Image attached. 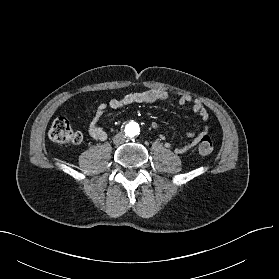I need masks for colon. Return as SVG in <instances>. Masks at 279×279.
<instances>
[{
	"label": "colon",
	"instance_id": "5ec220e1",
	"mask_svg": "<svg viewBox=\"0 0 279 279\" xmlns=\"http://www.w3.org/2000/svg\"><path fill=\"white\" fill-rule=\"evenodd\" d=\"M49 138L58 144L77 145L82 141L80 132L75 131L65 117H58L52 123L49 130ZM213 150V142L208 135H203L198 143V154L209 155Z\"/></svg>",
	"mask_w": 279,
	"mask_h": 279
}]
</instances>
